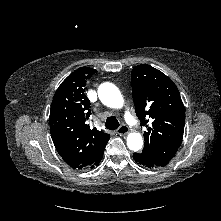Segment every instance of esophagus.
<instances>
[{"mask_svg": "<svg viewBox=\"0 0 221 221\" xmlns=\"http://www.w3.org/2000/svg\"><path fill=\"white\" fill-rule=\"evenodd\" d=\"M117 134L119 135H126L129 132V129L126 125H121L118 129H117Z\"/></svg>", "mask_w": 221, "mask_h": 221, "instance_id": "34e87169", "label": "esophagus"}]
</instances>
